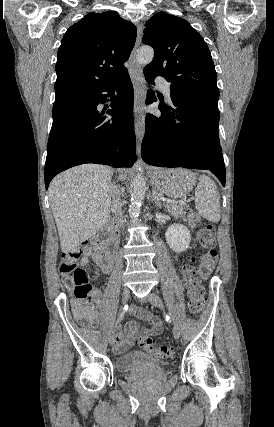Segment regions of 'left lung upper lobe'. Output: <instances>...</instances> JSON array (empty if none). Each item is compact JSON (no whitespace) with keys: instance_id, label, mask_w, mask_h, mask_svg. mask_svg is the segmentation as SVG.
<instances>
[{"instance_id":"1","label":"left lung upper lobe","mask_w":274,"mask_h":427,"mask_svg":"<svg viewBox=\"0 0 274 427\" xmlns=\"http://www.w3.org/2000/svg\"><path fill=\"white\" fill-rule=\"evenodd\" d=\"M143 43L154 48L145 73L163 76L170 90L219 99L216 71L202 36L184 19L159 12L145 24Z\"/></svg>"}]
</instances>
